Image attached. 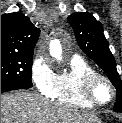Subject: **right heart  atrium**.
<instances>
[{
    "label": "right heart atrium",
    "mask_w": 122,
    "mask_h": 123,
    "mask_svg": "<svg viewBox=\"0 0 122 123\" xmlns=\"http://www.w3.org/2000/svg\"><path fill=\"white\" fill-rule=\"evenodd\" d=\"M56 76L51 62L43 55H37L31 65V80L40 94L52 97L56 84Z\"/></svg>",
    "instance_id": "obj_1"
}]
</instances>
